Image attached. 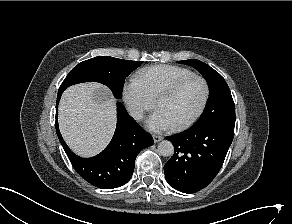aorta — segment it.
Listing matches in <instances>:
<instances>
[{
    "mask_svg": "<svg viewBox=\"0 0 292 224\" xmlns=\"http://www.w3.org/2000/svg\"><path fill=\"white\" fill-rule=\"evenodd\" d=\"M158 153L164 157L172 156L174 154V146L168 140H163L158 144Z\"/></svg>",
    "mask_w": 292,
    "mask_h": 224,
    "instance_id": "1",
    "label": "aorta"
}]
</instances>
